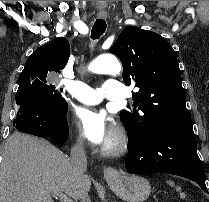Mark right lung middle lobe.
Segmentation results:
<instances>
[{"mask_svg": "<svg viewBox=\"0 0 209 202\" xmlns=\"http://www.w3.org/2000/svg\"><path fill=\"white\" fill-rule=\"evenodd\" d=\"M47 75L43 73L19 75V89L27 90L37 104L56 113L66 114L68 105L62 95L63 90L50 84Z\"/></svg>", "mask_w": 209, "mask_h": 202, "instance_id": "right-lung-middle-lobe-1", "label": "right lung middle lobe"}]
</instances>
